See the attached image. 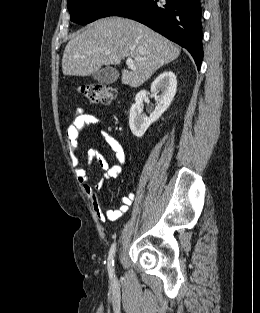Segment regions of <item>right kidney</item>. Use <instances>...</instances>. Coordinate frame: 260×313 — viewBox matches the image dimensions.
I'll return each mask as SVG.
<instances>
[{"label":"right kidney","mask_w":260,"mask_h":313,"mask_svg":"<svg viewBox=\"0 0 260 313\" xmlns=\"http://www.w3.org/2000/svg\"><path fill=\"white\" fill-rule=\"evenodd\" d=\"M176 88V76L170 70L164 71L153 81L151 92L161 91V95L150 117H147L143 113V100L147 92L142 90L136 95L135 103L132 105L129 115V126L134 136L138 138L142 137L149 126L161 117L171 105L176 93Z\"/></svg>","instance_id":"1"}]
</instances>
